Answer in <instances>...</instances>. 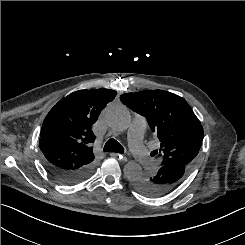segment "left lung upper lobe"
Here are the masks:
<instances>
[{
    "mask_svg": "<svg viewBox=\"0 0 245 245\" xmlns=\"http://www.w3.org/2000/svg\"><path fill=\"white\" fill-rule=\"evenodd\" d=\"M121 102L146 117L160 141L161 165L191 167L203 141V128L186 100L163 90H145L120 96ZM153 175V174H152Z\"/></svg>",
    "mask_w": 245,
    "mask_h": 245,
    "instance_id": "1",
    "label": "left lung upper lobe"
}]
</instances>
